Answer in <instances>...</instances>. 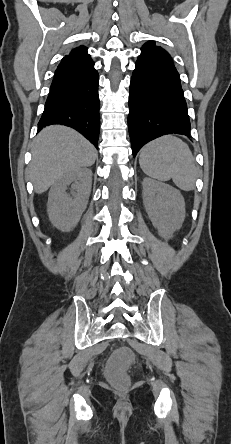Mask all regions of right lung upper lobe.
Returning <instances> with one entry per match:
<instances>
[{
  "label": "right lung upper lobe",
  "mask_w": 231,
  "mask_h": 444,
  "mask_svg": "<svg viewBox=\"0 0 231 444\" xmlns=\"http://www.w3.org/2000/svg\"><path fill=\"white\" fill-rule=\"evenodd\" d=\"M94 65L87 48L84 46L73 49L69 55H66L55 71L56 76L77 73Z\"/></svg>",
  "instance_id": "cb5924a9"
}]
</instances>
